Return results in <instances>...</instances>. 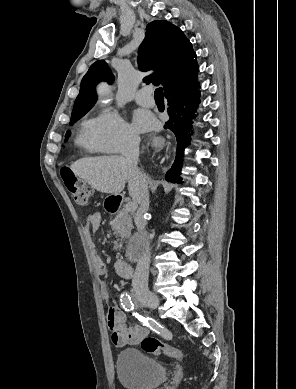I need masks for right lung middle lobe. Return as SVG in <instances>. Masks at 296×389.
Listing matches in <instances>:
<instances>
[{
  "label": "right lung middle lobe",
  "mask_w": 296,
  "mask_h": 389,
  "mask_svg": "<svg viewBox=\"0 0 296 389\" xmlns=\"http://www.w3.org/2000/svg\"><path fill=\"white\" fill-rule=\"evenodd\" d=\"M91 107H86V108H82V109H79V110H76L75 112L72 113V116H71V124H73L76 120H78L79 118H81L82 116H84L90 109ZM70 136V131H67L66 133V139Z\"/></svg>",
  "instance_id": "dd1d6c3e"
}]
</instances>
